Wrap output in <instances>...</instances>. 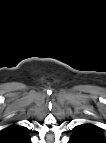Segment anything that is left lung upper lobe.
Returning <instances> with one entry per match:
<instances>
[{
	"label": "left lung upper lobe",
	"instance_id": "5c2ea615",
	"mask_svg": "<svg viewBox=\"0 0 106 143\" xmlns=\"http://www.w3.org/2000/svg\"><path fill=\"white\" fill-rule=\"evenodd\" d=\"M73 135L78 136L84 143L105 142L100 128L88 123L77 126Z\"/></svg>",
	"mask_w": 106,
	"mask_h": 143
}]
</instances>
